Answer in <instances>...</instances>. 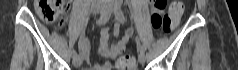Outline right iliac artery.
I'll use <instances>...</instances> for the list:
<instances>
[{
	"mask_svg": "<svg viewBox=\"0 0 238 70\" xmlns=\"http://www.w3.org/2000/svg\"><path fill=\"white\" fill-rule=\"evenodd\" d=\"M111 13L109 11H105L102 13V15L100 16V18L97 20V25H103L105 23L108 22L109 18H110ZM72 56H77V52L75 50L72 51Z\"/></svg>",
	"mask_w": 238,
	"mask_h": 70,
	"instance_id": "82829eb1",
	"label": "right iliac artery"
}]
</instances>
